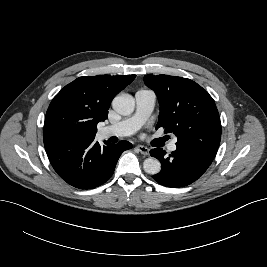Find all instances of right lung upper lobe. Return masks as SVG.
<instances>
[{
  "mask_svg": "<svg viewBox=\"0 0 267 267\" xmlns=\"http://www.w3.org/2000/svg\"><path fill=\"white\" fill-rule=\"evenodd\" d=\"M135 77L83 76L66 85L48 107L44 143L93 140L98 122L107 118L111 101Z\"/></svg>",
  "mask_w": 267,
  "mask_h": 267,
  "instance_id": "cb5924a9",
  "label": "right lung upper lobe"
}]
</instances>
